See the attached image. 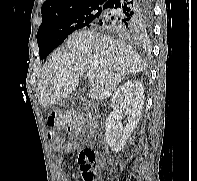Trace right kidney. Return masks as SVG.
<instances>
[{
	"mask_svg": "<svg viewBox=\"0 0 197 181\" xmlns=\"http://www.w3.org/2000/svg\"><path fill=\"white\" fill-rule=\"evenodd\" d=\"M144 98L143 84L137 80L127 81L113 95L111 99L113 111L118 114L125 112L128 123L123 127L118 119L116 121V118H107L105 139L112 151L119 152L124 148L126 141L140 121Z\"/></svg>",
	"mask_w": 197,
	"mask_h": 181,
	"instance_id": "obj_1",
	"label": "right kidney"
}]
</instances>
